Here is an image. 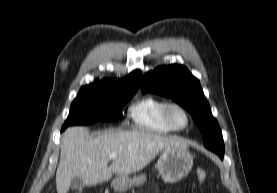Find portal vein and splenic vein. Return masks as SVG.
Wrapping results in <instances>:
<instances>
[{
    "instance_id": "1",
    "label": "portal vein and splenic vein",
    "mask_w": 277,
    "mask_h": 193,
    "mask_svg": "<svg viewBox=\"0 0 277 193\" xmlns=\"http://www.w3.org/2000/svg\"><path fill=\"white\" fill-rule=\"evenodd\" d=\"M109 158L110 159H116L117 158V154L116 153H111Z\"/></svg>"
}]
</instances>
